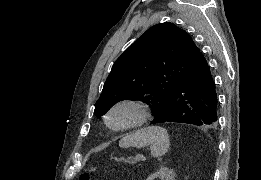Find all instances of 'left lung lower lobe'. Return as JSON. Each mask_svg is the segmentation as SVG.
<instances>
[{"label": "left lung lower lobe", "instance_id": "obj_1", "mask_svg": "<svg viewBox=\"0 0 261 180\" xmlns=\"http://www.w3.org/2000/svg\"><path fill=\"white\" fill-rule=\"evenodd\" d=\"M218 98L209 65L199 51L169 97L166 111L151 124L189 123L205 128L217 124Z\"/></svg>", "mask_w": 261, "mask_h": 180}]
</instances>
